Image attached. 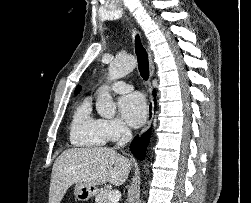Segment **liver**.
Wrapping results in <instances>:
<instances>
[{"instance_id":"6515ba94","label":"liver","mask_w":251,"mask_h":203,"mask_svg":"<svg viewBox=\"0 0 251 203\" xmlns=\"http://www.w3.org/2000/svg\"><path fill=\"white\" fill-rule=\"evenodd\" d=\"M131 169L129 159L113 148H72L63 151L52 168L49 203H60L70 186L86 183L93 186L107 182L125 183Z\"/></svg>"}]
</instances>
